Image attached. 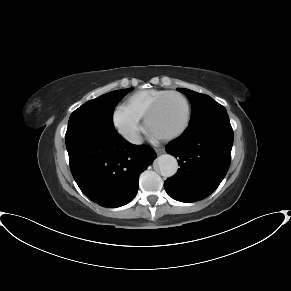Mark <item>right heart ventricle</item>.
Wrapping results in <instances>:
<instances>
[{"label": "right heart ventricle", "instance_id": "1", "mask_svg": "<svg viewBox=\"0 0 291 291\" xmlns=\"http://www.w3.org/2000/svg\"><path fill=\"white\" fill-rule=\"evenodd\" d=\"M169 92L163 89H146L132 93L126 98L125 106L140 118L145 117L147 111L158 98Z\"/></svg>", "mask_w": 291, "mask_h": 291}]
</instances>
